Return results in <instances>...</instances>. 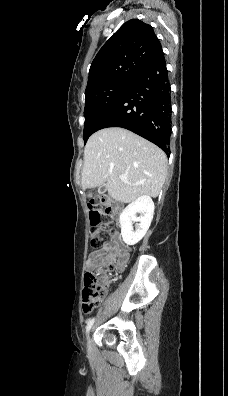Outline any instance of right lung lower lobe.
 <instances>
[{
    "label": "right lung lower lobe",
    "instance_id": "right-lung-lower-lobe-1",
    "mask_svg": "<svg viewBox=\"0 0 228 396\" xmlns=\"http://www.w3.org/2000/svg\"><path fill=\"white\" fill-rule=\"evenodd\" d=\"M171 91L163 51L137 76L100 120L96 131L122 127L170 154Z\"/></svg>",
    "mask_w": 228,
    "mask_h": 396
}]
</instances>
